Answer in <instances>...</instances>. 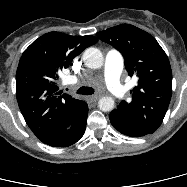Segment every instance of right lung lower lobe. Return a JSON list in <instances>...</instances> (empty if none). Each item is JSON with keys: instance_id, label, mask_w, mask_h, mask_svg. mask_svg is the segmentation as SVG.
<instances>
[{"instance_id": "obj_1", "label": "right lung lower lobe", "mask_w": 187, "mask_h": 187, "mask_svg": "<svg viewBox=\"0 0 187 187\" xmlns=\"http://www.w3.org/2000/svg\"><path fill=\"white\" fill-rule=\"evenodd\" d=\"M87 115L88 106L85 104L66 129L44 143L53 147H67L76 143L85 132Z\"/></svg>"}]
</instances>
